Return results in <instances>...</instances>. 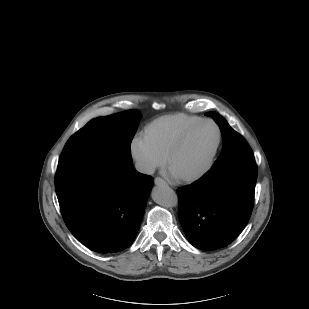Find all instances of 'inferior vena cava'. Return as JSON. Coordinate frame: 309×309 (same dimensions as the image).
I'll return each instance as SVG.
<instances>
[{
  "instance_id": "inferior-vena-cava-1",
  "label": "inferior vena cava",
  "mask_w": 309,
  "mask_h": 309,
  "mask_svg": "<svg viewBox=\"0 0 309 309\" xmlns=\"http://www.w3.org/2000/svg\"><path fill=\"white\" fill-rule=\"evenodd\" d=\"M135 168L137 171L148 175H152L155 171V168L152 165L144 162H137Z\"/></svg>"
}]
</instances>
